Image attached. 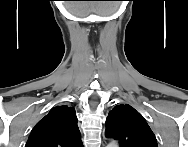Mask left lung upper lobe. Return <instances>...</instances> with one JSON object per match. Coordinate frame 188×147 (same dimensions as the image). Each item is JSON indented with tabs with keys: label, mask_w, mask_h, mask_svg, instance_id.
<instances>
[{
	"label": "left lung upper lobe",
	"mask_w": 188,
	"mask_h": 147,
	"mask_svg": "<svg viewBox=\"0 0 188 147\" xmlns=\"http://www.w3.org/2000/svg\"><path fill=\"white\" fill-rule=\"evenodd\" d=\"M105 135L117 140L120 147H158L145 119L128 104L117 105L109 112Z\"/></svg>",
	"instance_id": "1"
}]
</instances>
